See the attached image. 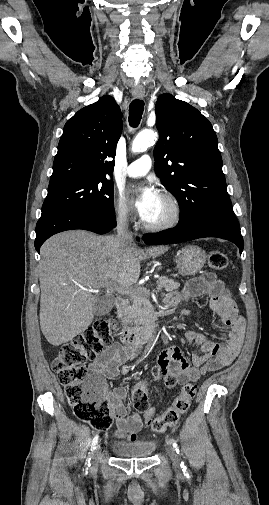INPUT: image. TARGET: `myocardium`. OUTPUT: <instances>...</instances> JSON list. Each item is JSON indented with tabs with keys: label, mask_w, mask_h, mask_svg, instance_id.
I'll use <instances>...</instances> for the list:
<instances>
[{
	"label": "myocardium",
	"mask_w": 269,
	"mask_h": 505,
	"mask_svg": "<svg viewBox=\"0 0 269 505\" xmlns=\"http://www.w3.org/2000/svg\"><path fill=\"white\" fill-rule=\"evenodd\" d=\"M160 196L163 197L165 200H167L171 205L172 215L168 220L161 223H148L144 220L143 226L145 229L149 231L159 232L169 230L177 226L182 218V207L178 199L173 194L167 191L161 192Z\"/></svg>",
	"instance_id": "f54148a6"
}]
</instances>
